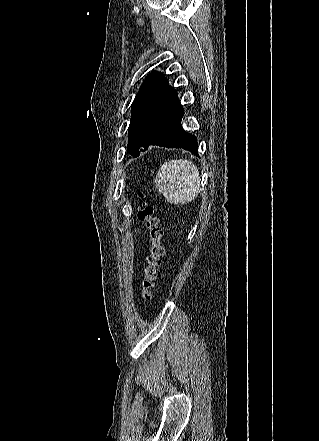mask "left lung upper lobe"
<instances>
[{"mask_svg": "<svg viewBox=\"0 0 319 441\" xmlns=\"http://www.w3.org/2000/svg\"><path fill=\"white\" fill-rule=\"evenodd\" d=\"M177 92L160 72H152L141 85L132 103L127 151L139 156L149 147L157 130L179 108Z\"/></svg>", "mask_w": 319, "mask_h": 441, "instance_id": "5c2ea615", "label": "left lung upper lobe"}]
</instances>
